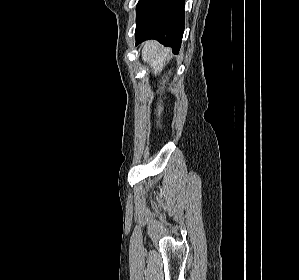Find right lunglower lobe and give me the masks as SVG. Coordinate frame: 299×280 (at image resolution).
Here are the masks:
<instances>
[{
    "label": "right lung lower lobe",
    "mask_w": 299,
    "mask_h": 280,
    "mask_svg": "<svg viewBox=\"0 0 299 280\" xmlns=\"http://www.w3.org/2000/svg\"><path fill=\"white\" fill-rule=\"evenodd\" d=\"M184 5L185 0H139L136 45L156 39L177 54L184 32Z\"/></svg>",
    "instance_id": "right-lung-lower-lobe-1"
}]
</instances>
